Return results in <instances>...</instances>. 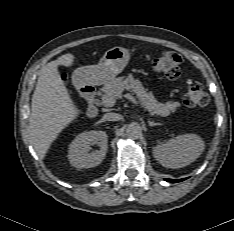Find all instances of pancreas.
Segmentation results:
<instances>
[{
    "mask_svg": "<svg viewBox=\"0 0 234 231\" xmlns=\"http://www.w3.org/2000/svg\"><path fill=\"white\" fill-rule=\"evenodd\" d=\"M124 90L130 91L136 95V98L142 104V106L151 112V114H157L163 117L168 116L170 113L176 111L180 106L178 102L168 101L166 103L158 102L152 93H149L145 89L141 82L134 79L132 75L127 77L113 78L107 82L102 88V100L105 98H112L114 100L122 97Z\"/></svg>",
    "mask_w": 234,
    "mask_h": 231,
    "instance_id": "cf45deb5",
    "label": "pancreas"
}]
</instances>
